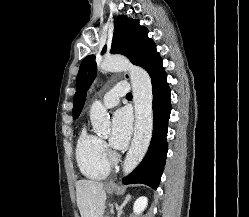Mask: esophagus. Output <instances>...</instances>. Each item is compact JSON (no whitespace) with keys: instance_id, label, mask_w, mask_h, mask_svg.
Instances as JSON below:
<instances>
[{"instance_id":"34e87169","label":"esophagus","mask_w":249,"mask_h":217,"mask_svg":"<svg viewBox=\"0 0 249 217\" xmlns=\"http://www.w3.org/2000/svg\"><path fill=\"white\" fill-rule=\"evenodd\" d=\"M124 78H125L126 80H128V79H129V74H128V73H125V74H124ZM110 183L112 184L113 181H111Z\"/></svg>"}]
</instances>
